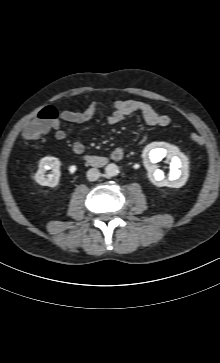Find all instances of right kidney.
<instances>
[{"mask_svg":"<svg viewBox=\"0 0 220 363\" xmlns=\"http://www.w3.org/2000/svg\"><path fill=\"white\" fill-rule=\"evenodd\" d=\"M60 166L61 162L56 157L48 156L42 158L39 162V169L34 175L35 181L42 186H57L61 176ZM49 169H52V173L45 175V171Z\"/></svg>","mask_w":220,"mask_h":363,"instance_id":"obj_1","label":"right kidney"}]
</instances>
